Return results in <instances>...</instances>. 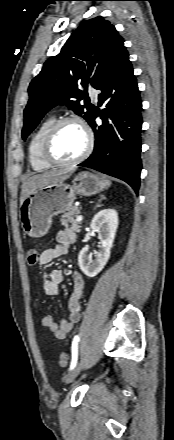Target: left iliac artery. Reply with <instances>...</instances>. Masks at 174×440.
I'll list each match as a JSON object with an SVG mask.
<instances>
[{
    "instance_id": "44dca946",
    "label": "left iliac artery",
    "mask_w": 174,
    "mask_h": 440,
    "mask_svg": "<svg viewBox=\"0 0 174 440\" xmlns=\"http://www.w3.org/2000/svg\"><path fill=\"white\" fill-rule=\"evenodd\" d=\"M78 341H79V336H75L72 342V360H71V365H70V370H72L76 364H77V360H78Z\"/></svg>"
}]
</instances>
